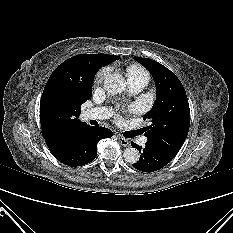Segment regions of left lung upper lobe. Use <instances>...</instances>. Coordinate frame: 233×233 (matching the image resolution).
Returning a JSON list of instances; mask_svg holds the SVG:
<instances>
[{"mask_svg":"<svg viewBox=\"0 0 233 233\" xmlns=\"http://www.w3.org/2000/svg\"><path fill=\"white\" fill-rule=\"evenodd\" d=\"M152 74L156 101L146 113L151 125L146 127L147 143L175 157L182 147L190 126V109L185 89L175 74L155 60L134 57Z\"/></svg>","mask_w":233,"mask_h":233,"instance_id":"5c2ea615","label":"left lung upper lobe"}]
</instances>
